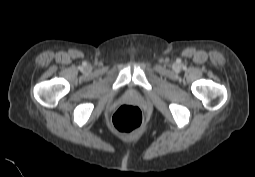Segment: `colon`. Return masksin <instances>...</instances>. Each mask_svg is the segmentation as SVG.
<instances>
[{
	"label": "colon",
	"instance_id": "1",
	"mask_svg": "<svg viewBox=\"0 0 255 177\" xmlns=\"http://www.w3.org/2000/svg\"><path fill=\"white\" fill-rule=\"evenodd\" d=\"M143 122L141 110L134 104H123L113 114L111 123L121 133H131Z\"/></svg>",
	"mask_w": 255,
	"mask_h": 177
}]
</instances>
